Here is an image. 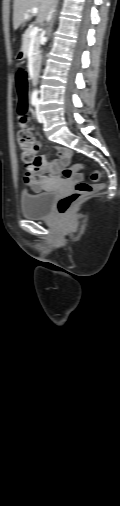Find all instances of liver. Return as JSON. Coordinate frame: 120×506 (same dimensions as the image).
Instances as JSON below:
<instances>
[{"label":"liver","mask_w":120,"mask_h":506,"mask_svg":"<svg viewBox=\"0 0 120 506\" xmlns=\"http://www.w3.org/2000/svg\"><path fill=\"white\" fill-rule=\"evenodd\" d=\"M54 0H14L13 25L17 29L23 22L29 21L34 13L31 9L38 8L37 21L43 22L49 15Z\"/></svg>","instance_id":"liver-1"}]
</instances>
